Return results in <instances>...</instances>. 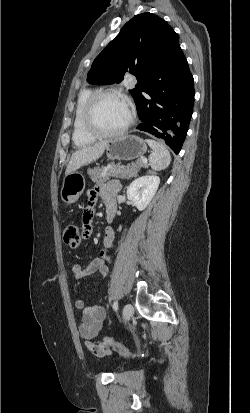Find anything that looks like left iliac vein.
I'll use <instances>...</instances> for the list:
<instances>
[{
    "label": "left iliac vein",
    "instance_id": "4c4485c4",
    "mask_svg": "<svg viewBox=\"0 0 250 413\" xmlns=\"http://www.w3.org/2000/svg\"><path fill=\"white\" fill-rule=\"evenodd\" d=\"M134 309L131 304H126L123 308V319L125 322L129 321L130 318L133 316Z\"/></svg>",
    "mask_w": 250,
    "mask_h": 413
}]
</instances>
